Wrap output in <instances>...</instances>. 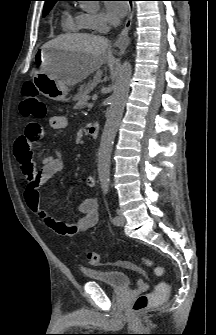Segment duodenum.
<instances>
[{"instance_id": "obj_1", "label": "duodenum", "mask_w": 216, "mask_h": 335, "mask_svg": "<svg viewBox=\"0 0 216 335\" xmlns=\"http://www.w3.org/2000/svg\"><path fill=\"white\" fill-rule=\"evenodd\" d=\"M99 125L98 124H91L88 128L89 135L92 138H96L98 136Z\"/></svg>"}]
</instances>
